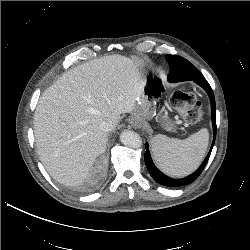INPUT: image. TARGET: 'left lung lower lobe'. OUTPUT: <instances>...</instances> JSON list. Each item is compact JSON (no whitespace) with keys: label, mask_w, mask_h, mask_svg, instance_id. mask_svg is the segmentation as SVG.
<instances>
[{"label":"left lung lower lobe","mask_w":250,"mask_h":250,"mask_svg":"<svg viewBox=\"0 0 250 250\" xmlns=\"http://www.w3.org/2000/svg\"><path fill=\"white\" fill-rule=\"evenodd\" d=\"M168 63L170 65V72L168 74V80L170 82H180V81H189L193 80L195 83L203 87L206 92L209 95L210 102H211V117H212V124H213V132H214V137H213V142L211 149L206 156L205 160L203 163L200 165V167L191 175L182 178V179H174L166 176L163 174L161 171H159L156 166L154 165L149 148H148V143L146 142V151L144 155V160L145 164L147 166V169L150 173V175L161 185L167 186V187H180V186H185L187 184L192 183L195 181L201 172L203 171L205 165L208 162V159L210 157L213 145H214V140L216 138V107H215V98L213 91L208 84V82L205 80L203 75L197 70L195 66H193L189 61L186 59L175 56L174 58H170L168 60Z\"/></svg>","instance_id":"obj_1"}]
</instances>
